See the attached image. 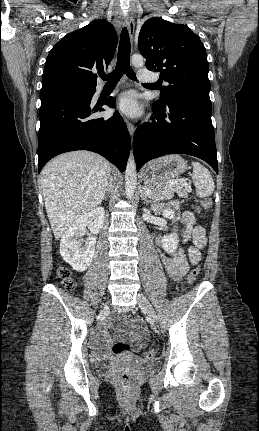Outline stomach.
<instances>
[{
    "mask_svg": "<svg viewBox=\"0 0 259 431\" xmlns=\"http://www.w3.org/2000/svg\"><path fill=\"white\" fill-rule=\"evenodd\" d=\"M187 169V162L180 155H166L149 163L143 170L145 183L168 182Z\"/></svg>",
    "mask_w": 259,
    "mask_h": 431,
    "instance_id": "obj_1",
    "label": "stomach"
}]
</instances>
